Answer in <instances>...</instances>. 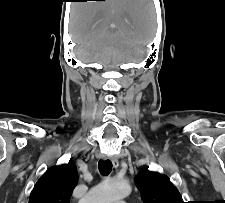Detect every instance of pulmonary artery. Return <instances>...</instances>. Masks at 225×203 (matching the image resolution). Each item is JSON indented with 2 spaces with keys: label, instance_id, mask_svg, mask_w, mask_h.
I'll return each instance as SVG.
<instances>
[{
  "label": "pulmonary artery",
  "instance_id": "pulmonary-artery-1",
  "mask_svg": "<svg viewBox=\"0 0 225 203\" xmlns=\"http://www.w3.org/2000/svg\"><path fill=\"white\" fill-rule=\"evenodd\" d=\"M116 203H125V202H123V201H118V202H116Z\"/></svg>",
  "mask_w": 225,
  "mask_h": 203
}]
</instances>
